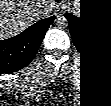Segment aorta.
<instances>
[{"mask_svg": "<svg viewBox=\"0 0 111 106\" xmlns=\"http://www.w3.org/2000/svg\"><path fill=\"white\" fill-rule=\"evenodd\" d=\"M58 24H60L62 27H65V25H66V19L65 18H59Z\"/></svg>", "mask_w": 111, "mask_h": 106, "instance_id": "1", "label": "aorta"}]
</instances>
